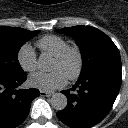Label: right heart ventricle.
Here are the masks:
<instances>
[{
	"mask_svg": "<svg viewBox=\"0 0 128 128\" xmlns=\"http://www.w3.org/2000/svg\"><path fill=\"white\" fill-rule=\"evenodd\" d=\"M37 46L42 50L43 53L55 57L62 53L67 46H69V42L61 36L47 35L42 37L37 42Z\"/></svg>",
	"mask_w": 128,
	"mask_h": 128,
	"instance_id": "1",
	"label": "right heart ventricle"
}]
</instances>
